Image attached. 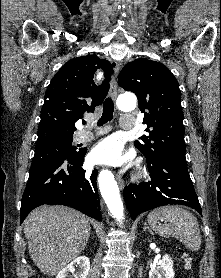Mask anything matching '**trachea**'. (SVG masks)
I'll return each instance as SVG.
<instances>
[{"label": "trachea", "instance_id": "3493384b", "mask_svg": "<svg viewBox=\"0 0 221 278\" xmlns=\"http://www.w3.org/2000/svg\"><path fill=\"white\" fill-rule=\"evenodd\" d=\"M114 103L110 97L106 98L103 104V113L101 118L98 120L97 125L102 126L103 124L113 119ZM86 122H84L85 124Z\"/></svg>", "mask_w": 221, "mask_h": 278}]
</instances>
